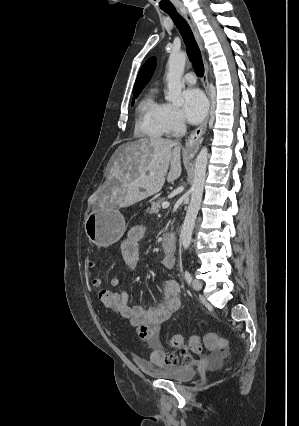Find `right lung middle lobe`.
Wrapping results in <instances>:
<instances>
[{"label":"right lung middle lobe","mask_w":299,"mask_h":426,"mask_svg":"<svg viewBox=\"0 0 299 426\" xmlns=\"http://www.w3.org/2000/svg\"><path fill=\"white\" fill-rule=\"evenodd\" d=\"M139 93H140V91H138V92H133L134 98H136V97L139 95ZM132 104H134V99H133V101H132Z\"/></svg>","instance_id":"right-lung-middle-lobe-1"}]
</instances>
